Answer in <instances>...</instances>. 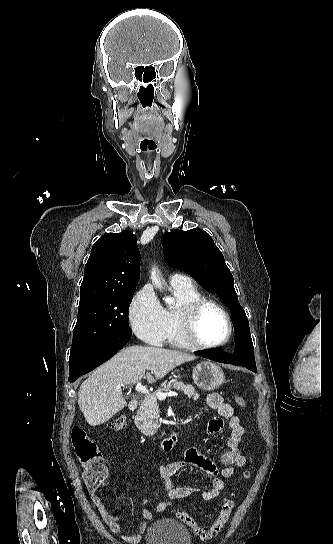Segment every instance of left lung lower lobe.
I'll return each instance as SVG.
<instances>
[{"mask_svg": "<svg viewBox=\"0 0 333 544\" xmlns=\"http://www.w3.org/2000/svg\"><path fill=\"white\" fill-rule=\"evenodd\" d=\"M195 354L218 362L244 366L253 372H257L255 360L246 356L247 352L241 347L237 348L233 355L224 353L222 349L201 350L195 352Z\"/></svg>", "mask_w": 333, "mask_h": 544, "instance_id": "1", "label": "left lung lower lobe"}]
</instances>
